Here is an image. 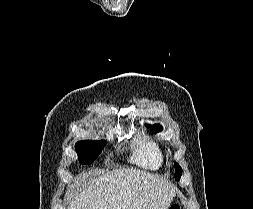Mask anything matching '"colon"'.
I'll return each instance as SVG.
<instances>
[{"mask_svg":"<svg viewBox=\"0 0 253 209\" xmlns=\"http://www.w3.org/2000/svg\"><path fill=\"white\" fill-rule=\"evenodd\" d=\"M170 209H180V207H179L178 205L174 204V205H172V206L170 207Z\"/></svg>","mask_w":253,"mask_h":209,"instance_id":"colon-1","label":"colon"}]
</instances>
